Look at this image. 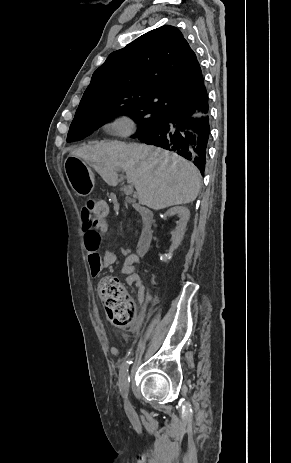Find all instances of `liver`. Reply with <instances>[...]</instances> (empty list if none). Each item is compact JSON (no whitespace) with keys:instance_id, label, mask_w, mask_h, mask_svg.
Instances as JSON below:
<instances>
[{"instance_id":"obj_1","label":"liver","mask_w":291,"mask_h":463,"mask_svg":"<svg viewBox=\"0 0 291 463\" xmlns=\"http://www.w3.org/2000/svg\"><path fill=\"white\" fill-rule=\"evenodd\" d=\"M93 167L110 186L118 184V171L126 172L138 201L153 210L193 202L199 193V170L184 158L158 147L101 141L70 153Z\"/></svg>"}]
</instances>
